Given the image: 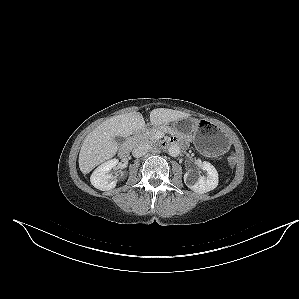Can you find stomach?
Returning <instances> with one entry per match:
<instances>
[{
	"label": "stomach",
	"mask_w": 299,
	"mask_h": 299,
	"mask_svg": "<svg viewBox=\"0 0 299 299\" xmlns=\"http://www.w3.org/2000/svg\"><path fill=\"white\" fill-rule=\"evenodd\" d=\"M173 127L180 133L189 134L197 149L204 154H218L227 147L224 130L207 120L185 118L175 121Z\"/></svg>",
	"instance_id": "1"
}]
</instances>
